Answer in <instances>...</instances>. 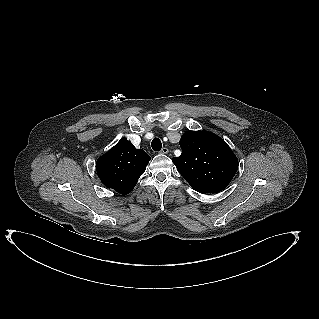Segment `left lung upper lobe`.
Here are the masks:
<instances>
[{
	"mask_svg": "<svg viewBox=\"0 0 319 319\" xmlns=\"http://www.w3.org/2000/svg\"><path fill=\"white\" fill-rule=\"evenodd\" d=\"M179 144L182 154L172 161L194 190L217 193L228 186L238 169V160L224 140L206 131H188Z\"/></svg>",
	"mask_w": 319,
	"mask_h": 319,
	"instance_id": "obj_1",
	"label": "left lung upper lobe"
}]
</instances>
